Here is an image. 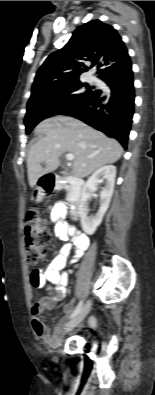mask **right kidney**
I'll list each match as a JSON object with an SVG mask.
<instances>
[{"instance_id":"obj_1","label":"right kidney","mask_w":155,"mask_h":395,"mask_svg":"<svg viewBox=\"0 0 155 395\" xmlns=\"http://www.w3.org/2000/svg\"><path fill=\"white\" fill-rule=\"evenodd\" d=\"M115 176V166H104L102 168H99L89 177L82 189V198L79 205V214L83 230L88 235H92L96 231L97 227L102 222L104 214L109 207L111 197L114 191ZM100 178L106 179V184L100 192V208L95 216H88V201L91 193L97 190L96 186L98 182H100Z\"/></svg>"}]
</instances>
